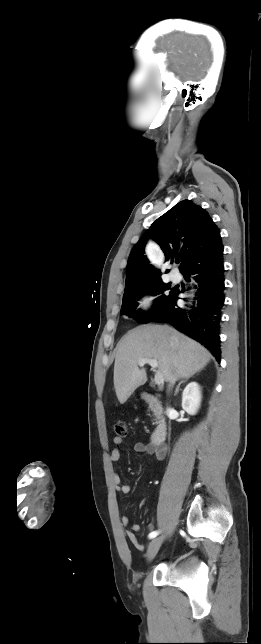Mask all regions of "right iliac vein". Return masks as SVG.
<instances>
[{
  "mask_svg": "<svg viewBox=\"0 0 261 644\" xmlns=\"http://www.w3.org/2000/svg\"><path fill=\"white\" fill-rule=\"evenodd\" d=\"M162 542H163V537L155 538L150 542V544L148 546V550H147V560L148 561H151L156 556L158 550L160 549V546H161Z\"/></svg>",
  "mask_w": 261,
  "mask_h": 644,
  "instance_id": "right-iliac-vein-1",
  "label": "right iliac vein"
}]
</instances>
